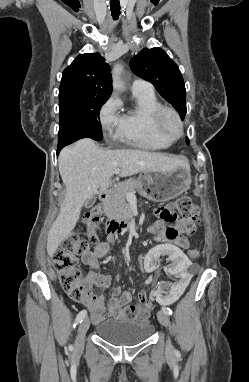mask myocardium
Here are the masks:
<instances>
[{
  "mask_svg": "<svg viewBox=\"0 0 249 382\" xmlns=\"http://www.w3.org/2000/svg\"><path fill=\"white\" fill-rule=\"evenodd\" d=\"M172 117L175 119L178 125V131L173 133L167 127V119ZM155 124L157 129L164 135L166 138L175 141L180 139L184 134V122L180 116V114L172 107L162 106L157 110L154 116Z\"/></svg>",
  "mask_w": 249,
  "mask_h": 382,
  "instance_id": "f54148a6",
  "label": "myocardium"
}]
</instances>
